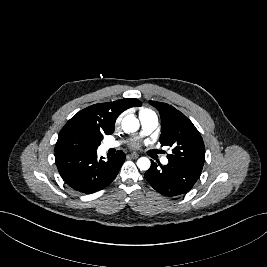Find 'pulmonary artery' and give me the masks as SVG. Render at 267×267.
Masks as SVG:
<instances>
[{"mask_svg": "<svg viewBox=\"0 0 267 267\" xmlns=\"http://www.w3.org/2000/svg\"><path fill=\"white\" fill-rule=\"evenodd\" d=\"M140 121H141V125H142V131L141 134L142 135H148L150 134L152 131H154L157 126H158V117L155 113H148V114H144V115H140ZM119 145V143L117 142H113V141H106L103 143L102 148L104 150H108L110 148H114L117 147ZM162 164L166 165L168 164V159L166 157H163L161 159Z\"/></svg>", "mask_w": 267, "mask_h": 267, "instance_id": "obj_1", "label": "pulmonary artery"}]
</instances>
